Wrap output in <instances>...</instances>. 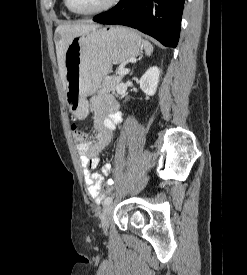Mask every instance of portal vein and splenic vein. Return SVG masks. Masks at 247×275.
<instances>
[{
	"mask_svg": "<svg viewBox=\"0 0 247 275\" xmlns=\"http://www.w3.org/2000/svg\"><path fill=\"white\" fill-rule=\"evenodd\" d=\"M129 71H130L129 69H120V70L116 71V74L123 76V75L128 74Z\"/></svg>",
	"mask_w": 247,
	"mask_h": 275,
	"instance_id": "portal-vein-and-splenic-vein-1",
	"label": "portal vein and splenic vein"
}]
</instances>
